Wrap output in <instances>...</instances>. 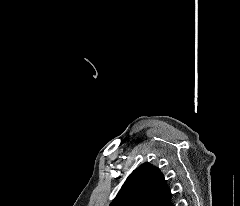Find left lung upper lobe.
I'll return each mask as SVG.
<instances>
[{"mask_svg": "<svg viewBox=\"0 0 240 206\" xmlns=\"http://www.w3.org/2000/svg\"><path fill=\"white\" fill-rule=\"evenodd\" d=\"M110 206H173L172 194L159 168L144 163L127 177Z\"/></svg>", "mask_w": 240, "mask_h": 206, "instance_id": "left-lung-upper-lobe-1", "label": "left lung upper lobe"}]
</instances>
